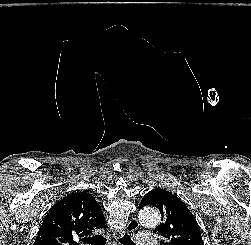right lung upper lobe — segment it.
I'll return each instance as SVG.
<instances>
[{
    "mask_svg": "<svg viewBox=\"0 0 251 245\" xmlns=\"http://www.w3.org/2000/svg\"><path fill=\"white\" fill-rule=\"evenodd\" d=\"M101 207L88 192H77L58 201L45 217L33 245H78L76 240L105 228Z\"/></svg>",
    "mask_w": 251,
    "mask_h": 245,
    "instance_id": "right-lung-upper-lobe-1",
    "label": "right lung upper lobe"
}]
</instances>
